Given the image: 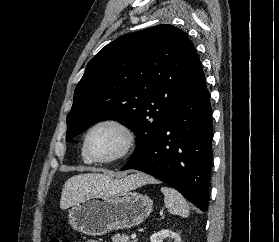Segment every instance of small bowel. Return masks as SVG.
I'll list each match as a JSON object with an SVG mask.
<instances>
[{
	"mask_svg": "<svg viewBox=\"0 0 279 242\" xmlns=\"http://www.w3.org/2000/svg\"><path fill=\"white\" fill-rule=\"evenodd\" d=\"M87 242H98L97 240H89Z\"/></svg>",
	"mask_w": 279,
	"mask_h": 242,
	"instance_id": "obj_1",
	"label": "small bowel"
}]
</instances>
